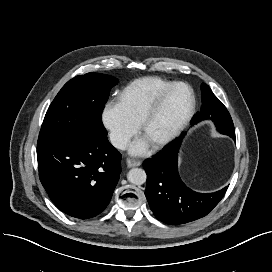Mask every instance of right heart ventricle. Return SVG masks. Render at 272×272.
<instances>
[{"label":"right heart ventricle","mask_w":272,"mask_h":272,"mask_svg":"<svg viewBox=\"0 0 272 272\" xmlns=\"http://www.w3.org/2000/svg\"><path fill=\"white\" fill-rule=\"evenodd\" d=\"M173 83L160 77L139 78L125 86L118 95V103L136 125L151 104Z\"/></svg>","instance_id":"e07e8e85"}]
</instances>
